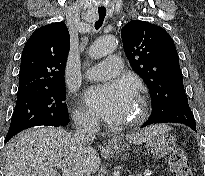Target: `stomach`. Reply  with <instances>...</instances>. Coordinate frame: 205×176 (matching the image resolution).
Here are the masks:
<instances>
[{
	"instance_id": "0dacf381",
	"label": "stomach",
	"mask_w": 205,
	"mask_h": 176,
	"mask_svg": "<svg viewBox=\"0 0 205 176\" xmlns=\"http://www.w3.org/2000/svg\"><path fill=\"white\" fill-rule=\"evenodd\" d=\"M155 129L152 136L145 142L146 146L151 149L152 154L157 157H165L168 155L176 145V139L170 135L165 129L166 126H154ZM115 151H124L125 146L115 142L113 148Z\"/></svg>"
}]
</instances>
